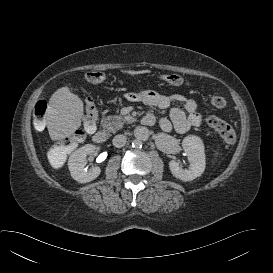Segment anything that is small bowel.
<instances>
[{
  "label": "small bowel",
  "mask_w": 273,
  "mask_h": 273,
  "mask_svg": "<svg viewBox=\"0 0 273 273\" xmlns=\"http://www.w3.org/2000/svg\"><path fill=\"white\" fill-rule=\"evenodd\" d=\"M126 97L128 100L141 102L149 108H167L172 101L183 104L184 109L172 107L170 109V118H161L159 120L161 130L166 133H170L173 130L178 133H185L190 128L199 126L202 122L197 103L193 99L180 94L169 96L153 90H147L140 93H129ZM148 114L152 115V113Z\"/></svg>",
  "instance_id": "obj_1"
}]
</instances>
